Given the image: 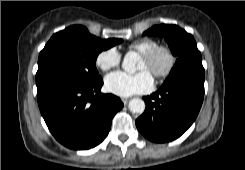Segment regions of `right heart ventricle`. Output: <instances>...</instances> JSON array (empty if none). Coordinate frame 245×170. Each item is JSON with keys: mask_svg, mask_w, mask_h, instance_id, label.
I'll return each instance as SVG.
<instances>
[{"mask_svg": "<svg viewBox=\"0 0 245 170\" xmlns=\"http://www.w3.org/2000/svg\"><path fill=\"white\" fill-rule=\"evenodd\" d=\"M158 45V42L154 39L150 38H143L140 40H137L129 45V49L133 50L139 54L145 53L155 46Z\"/></svg>", "mask_w": 245, "mask_h": 170, "instance_id": "e07e8e85", "label": "right heart ventricle"}]
</instances>
